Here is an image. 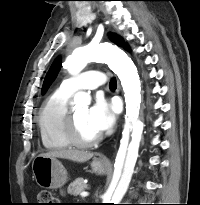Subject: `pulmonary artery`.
I'll return each mask as SVG.
<instances>
[{"label":"pulmonary artery","mask_w":200,"mask_h":205,"mask_svg":"<svg viewBox=\"0 0 200 205\" xmlns=\"http://www.w3.org/2000/svg\"><path fill=\"white\" fill-rule=\"evenodd\" d=\"M106 82L104 73L96 70L83 72L82 74L65 79L60 89L72 95L75 92L83 89H96Z\"/></svg>","instance_id":"obj_1"}]
</instances>
